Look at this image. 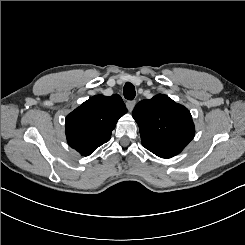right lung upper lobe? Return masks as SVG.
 Wrapping results in <instances>:
<instances>
[{
    "instance_id": "cb5924a9",
    "label": "right lung upper lobe",
    "mask_w": 245,
    "mask_h": 245,
    "mask_svg": "<svg viewBox=\"0 0 245 245\" xmlns=\"http://www.w3.org/2000/svg\"><path fill=\"white\" fill-rule=\"evenodd\" d=\"M126 112L117 94L93 96L66 117L68 144L83 156L92 154L110 140L117 121Z\"/></svg>"
}]
</instances>
